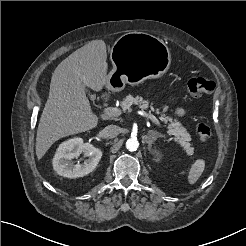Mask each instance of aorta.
<instances>
[{
	"instance_id": "762f6f07",
	"label": "aorta",
	"mask_w": 246,
	"mask_h": 246,
	"mask_svg": "<svg viewBox=\"0 0 246 246\" xmlns=\"http://www.w3.org/2000/svg\"><path fill=\"white\" fill-rule=\"evenodd\" d=\"M126 148L129 150V151H136L137 148L139 147V142L136 138H129L127 141H126Z\"/></svg>"
}]
</instances>
